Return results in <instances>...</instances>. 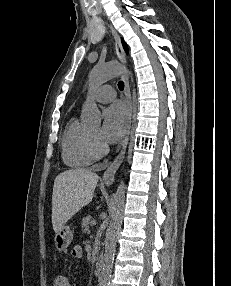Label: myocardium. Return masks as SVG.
<instances>
[{"label": "myocardium", "instance_id": "obj_1", "mask_svg": "<svg viewBox=\"0 0 231 286\" xmlns=\"http://www.w3.org/2000/svg\"><path fill=\"white\" fill-rule=\"evenodd\" d=\"M86 146L88 152L94 158H100L104 156L108 151V148L103 143L96 140L88 130L86 131Z\"/></svg>", "mask_w": 231, "mask_h": 286}]
</instances>
